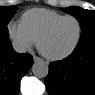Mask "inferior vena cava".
I'll return each instance as SVG.
<instances>
[{
  "mask_svg": "<svg viewBox=\"0 0 95 95\" xmlns=\"http://www.w3.org/2000/svg\"><path fill=\"white\" fill-rule=\"evenodd\" d=\"M13 48L18 53H25L27 51V47L20 41H13Z\"/></svg>",
  "mask_w": 95,
  "mask_h": 95,
  "instance_id": "inferior-vena-cava-1",
  "label": "inferior vena cava"
}]
</instances>
